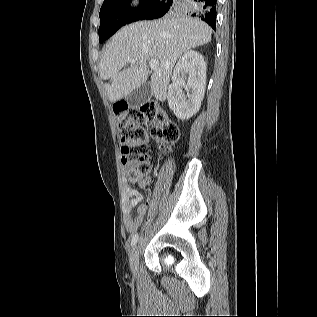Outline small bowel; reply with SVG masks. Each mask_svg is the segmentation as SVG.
I'll use <instances>...</instances> for the list:
<instances>
[{
  "mask_svg": "<svg viewBox=\"0 0 317 317\" xmlns=\"http://www.w3.org/2000/svg\"><path fill=\"white\" fill-rule=\"evenodd\" d=\"M149 181H150L149 177H144V178H141L137 183L141 188H145L149 184ZM127 194L130 199L126 206L124 225H125V229L128 232H134L143 222L149 204L145 203L139 206L137 215L133 216L132 214L133 210L142 201V195L137 190H134V189H128Z\"/></svg>",
  "mask_w": 317,
  "mask_h": 317,
  "instance_id": "obj_1",
  "label": "small bowel"
}]
</instances>
